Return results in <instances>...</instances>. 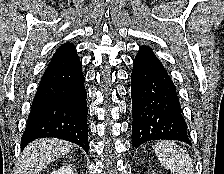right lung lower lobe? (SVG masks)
Wrapping results in <instances>:
<instances>
[{"mask_svg":"<svg viewBox=\"0 0 224 174\" xmlns=\"http://www.w3.org/2000/svg\"><path fill=\"white\" fill-rule=\"evenodd\" d=\"M86 90L77 52L52 59L39 83L21 150L37 138L56 137L88 153Z\"/></svg>","mask_w":224,"mask_h":174,"instance_id":"obj_1","label":"right lung lower lobe"}]
</instances>
